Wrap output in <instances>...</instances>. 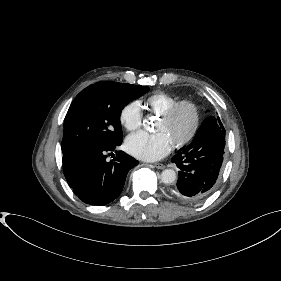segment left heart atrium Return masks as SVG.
<instances>
[{
	"label": "left heart atrium",
	"instance_id": "left-heart-atrium-1",
	"mask_svg": "<svg viewBox=\"0 0 281 281\" xmlns=\"http://www.w3.org/2000/svg\"><path fill=\"white\" fill-rule=\"evenodd\" d=\"M172 148V142L164 132H137L126 140L127 151L136 158L145 161H157L166 156Z\"/></svg>",
	"mask_w": 281,
	"mask_h": 281
}]
</instances>
